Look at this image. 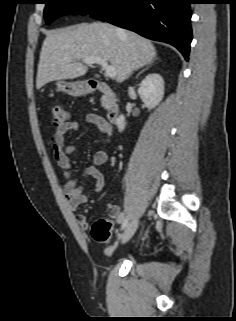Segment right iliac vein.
Returning <instances> with one entry per match:
<instances>
[{
  "instance_id": "63e3f726",
  "label": "right iliac vein",
  "mask_w": 236,
  "mask_h": 321,
  "mask_svg": "<svg viewBox=\"0 0 236 321\" xmlns=\"http://www.w3.org/2000/svg\"><path fill=\"white\" fill-rule=\"evenodd\" d=\"M138 223H139L138 219L135 218L126 226V228L120 238L122 244H125L126 242H128L132 238V236L134 235V233L137 230Z\"/></svg>"
}]
</instances>
